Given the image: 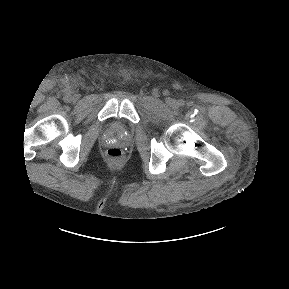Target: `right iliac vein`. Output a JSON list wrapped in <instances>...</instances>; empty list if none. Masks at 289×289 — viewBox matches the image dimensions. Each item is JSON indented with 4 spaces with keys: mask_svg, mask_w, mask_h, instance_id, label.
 <instances>
[{
    "mask_svg": "<svg viewBox=\"0 0 289 289\" xmlns=\"http://www.w3.org/2000/svg\"><path fill=\"white\" fill-rule=\"evenodd\" d=\"M78 98H79L78 95H74V96L72 97V100L76 101Z\"/></svg>",
    "mask_w": 289,
    "mask_h": 289,
    "instance_id": "right-iliac-vein-1",
    "label": "right iliac vein"
}]
</instances>
